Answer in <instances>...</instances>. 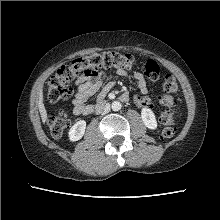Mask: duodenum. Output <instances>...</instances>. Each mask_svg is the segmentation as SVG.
I'll return each mask as SVG.
<instances>
[{"label":"duodenum","instance_id":"410a0bca","mask_svg":"<svg viewBox=\"0 0 220 220\" xmlns=\"http://www.w3.org/2000/svg\"><path fill=\"white\" fill-rule=\"evenodd\" d=\"M119 100L122 102H127L129 100V96L126 93H123L119 96ZM106 107V102L101 100L97 103L96 108L94 109L95 112H99Z\"/></svg>","mask_w":220,"mask_h":220}]
</instances>
